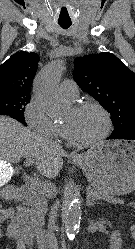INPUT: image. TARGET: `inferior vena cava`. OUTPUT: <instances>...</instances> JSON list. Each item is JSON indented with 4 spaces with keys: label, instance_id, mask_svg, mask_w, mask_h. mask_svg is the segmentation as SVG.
Segmentation results:
<instances>
[{
    "label": "inferior vena cava",
    "instance_id": "1",
    "mask_svg": "<svg viewBox=\"0 0 135 249\" xmlns=\"http://www.w3.org/2000/svg\"><path fill=\"white\" fill-rule=\"evenodd\" d=\"M54 218H55V213L54 211L51 212L50 219H49V224H48V230H47V243L49 249H58V244L57 240L54 236Z\"/></svg>",
    "mask_w": 135,
    "mask_h": 249
}]
</instances>
